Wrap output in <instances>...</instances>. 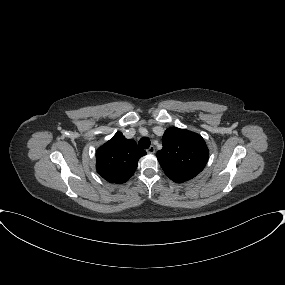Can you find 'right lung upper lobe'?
I'll use <instances>...</instances> for the list:
<instances>
[{"label": "right lung upper lobe", "mask_w": 285, "mask_h": 285, "mask_svg": "<svg viewBox=\"0 0 285 285\" xmlns=\"http://www.w3.org/2000/svg\"><path fill=\"white\" fill-rule=\"evenodd\" d=\"M146 152L134 140L117 132L96 152L97 172L108 182L125 183L135 172L140 157Z\"/></svg>", "instance_id": "obj_1"}]
</instances>
